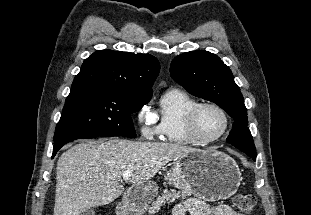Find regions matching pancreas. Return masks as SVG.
Here are the masks:
<instances>
[{
	"label": "pancreas",
	"mask_w": 311,
	"mask_h": 215,
	"mask_svg": "<svg viewBox=\"0 0 311 215\" xmlns=\"http://www.w3.org/2000/svg\"><path fill=\"white\" fill-rule=\"evenodd\" d=\"M189 193L186 191H176L174 189L167 190L165 189L163 193L157 197L155 201L152 202L151 206L149 207L148 214L149 215H154L160 210V207L165 205L166 202L172 203L178 198H186V196Z\"/></svg>",
	"instance_id": "pancreas-1"
}]
</instances>
